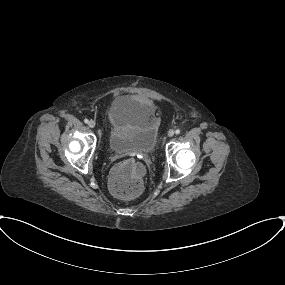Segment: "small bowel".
I'll return each instance as SVG.
<instances>
[{
	"label": "small bowel",
	"mask_w": 285,
	"mask_h": 285,
	"mask_svg": "<svg viewBox=\"0 0 285 285\" xmlns=\"http://www.w3.org/2000/svg\"><path fill=\"white\" fill-rule=\"evenodd\" d=\"M159 117H160V113H157V114L155 115V118H159ZM110 121H111L112 124H114V125L117 126V127H119V126L121 125V122H119V120L115 119L114 116H111V117H110Z\"/></svg>",
	"instance_id": "obj_1"
}]
</instances>
